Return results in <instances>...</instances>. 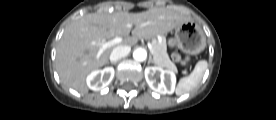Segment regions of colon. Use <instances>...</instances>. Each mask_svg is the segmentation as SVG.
<instances>
[{
    "mask_svg": "<svg viewBox=\"0 0 276 120\" xmlns=\"http://www.w3.org/2000/svg\"><path fill=\"white\" fill-rule=\"evenodd\" d=\"M170 47L173 50L172 58L175 61L180 62L184 67H189L190 58L177 46V41L175 38H171L169 41Z\"/></svg>",
    "mask_w": 276,
    "mask_h": 120,
    "instance_id": "colon-1",
    "label": "colon"
}]
</instances>
